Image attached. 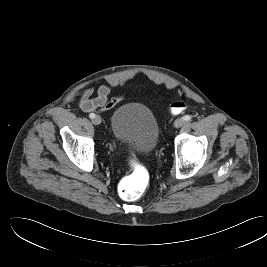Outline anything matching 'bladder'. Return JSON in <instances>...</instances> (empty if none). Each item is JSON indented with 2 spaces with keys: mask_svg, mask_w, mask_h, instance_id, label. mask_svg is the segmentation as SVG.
Segmentation results:
<instances>
[{
  "mask_svg": "<svg viewBox=\"0 0 267 267\" xmlns=\"http://www.w3.org/2000/svg\"><path fill=\"white\" fill-rule=\"evenodd\" d=\"M111 131L115 140L132 145L142 156L155 149L160 135L155 114L139 102H128L116 109L111 120Z\"/></svg>",
  "mask_w": 267,
  "mask_h": 267,
  "instance_id": "31cf9c89",
  "label": "bladder"
}]
</instances>
